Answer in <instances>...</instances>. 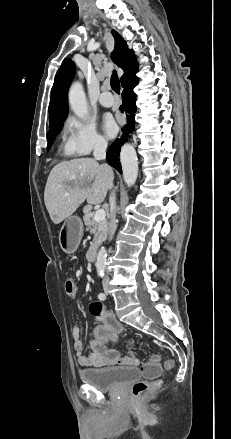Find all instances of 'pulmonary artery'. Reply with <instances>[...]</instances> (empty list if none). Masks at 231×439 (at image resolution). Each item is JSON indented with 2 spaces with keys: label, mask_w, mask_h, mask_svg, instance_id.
<instances>
[{
  "label": "pulmonary artery",
  "mask_w": 231,
  "mask_h": 439,
  "mask_svg": "<svg viewBox=\"0 0 231 439\" xmlns=\"http://www.w3.org/2000/svg\"><path fill=\"white\" fill-rule=\"evenodd\" d=\"M99 103L104 107H111L114 104L113 96L104 88V91L99 96Z\"/></svg>",
  "instance_id": "obj_1"
}]
</instances>
